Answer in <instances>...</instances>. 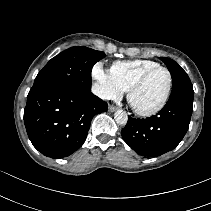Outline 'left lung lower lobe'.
Instances as JSON below:
<instances>
[{"label":"left lung lower lobe","instance_id":"1","mask_svg":"<svg viewBox=\"0 0 211 211\" xmlns=\"http://www.w3.org/2000/svg\"><path fill=\"white\" fill-rule=\"evenodd\" d=\"M192 111L193 98H169L157 115L146 119L128 117L121 131L122 138L144 157L160 156L181 142L188 130Z\"/></svg>","mask_w":211,"mask_h":211}]
</instances>
